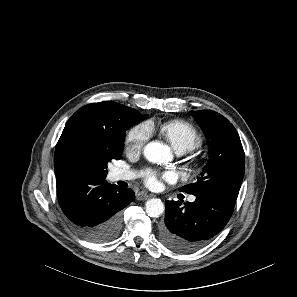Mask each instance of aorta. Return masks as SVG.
<instances>
[{"mask_svg":"<svg viewBox=\"0 0 297 297\" xmlns=\"http://www.w3.org/2000/svg\"><path fill=\"white\" fill-rule=\"evenodd\" d=\"M143 154L147 160L154 163L166 162L171 156L169 148L157 141L148 143ZM145 209L148 216L159 217L164 211V204L160 199L153 198L146 202Z\"/></svg>","mask_w":297,"mask_h":297,"instance_id":"obj_1","label":"aorta"}]
</instances>
